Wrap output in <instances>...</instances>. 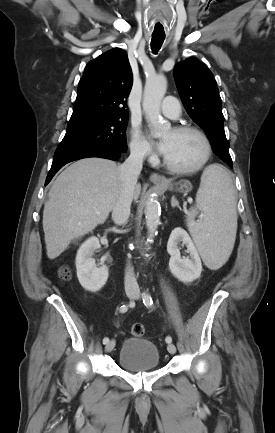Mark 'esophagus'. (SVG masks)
Returning a JSON list of instances; mask_svg holds the SVG:
<instances>
[{
	"instance_id": "34e87169",
	"label": "esophagus",
	"mask_w": 275,
	"mask_h": 433,
	"mask_svg": "<svg viewBox=\"0 0 275 433\" xmlns=\"http://www.w3.org/2000/svg\"><path fill=\"white\" fill-rule=\"evenodd\" d=\"M150 181L158 186H163L168 183L167 179L164 176L159 175L158 173H152L150 175Z\"/></svg>"
}]
</instances>
